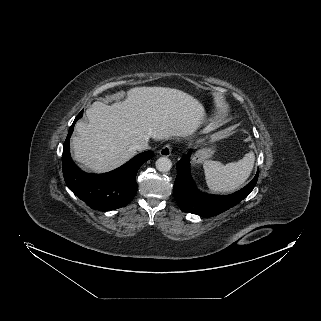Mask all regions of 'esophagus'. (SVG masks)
<instances>
[{
  "label": "esophagus",
  "instance_id": "obj_1",
  "mask_svg": "<svg viewBox=\"0 0 321 321\" xmlns=\"http://www.w3.org/2000/svg\"><path fill=\"white\" fill-rule=\"evenodd\" d=\"M159 154L161 156H170L171 155V146L169 144L165 145L164 147H162L159 151Z\"/></svg>",
  "mask_w": 321,
  "mask_h": 321
}]
</instances>
